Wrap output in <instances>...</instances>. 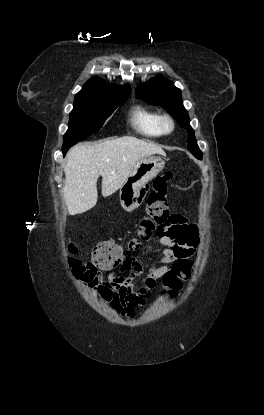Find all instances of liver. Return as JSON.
Wrapping results in <instances>:
<instances>
[{
    "label": "liver",
    "instance_id": "obj_1",
    "mask_svg": "<svg viewBox=\"0 0 264 415\" xmlns=\"http://www.w3.org/2000/svg\"><path fill=\"white\" fill-rule=\"evenodd\" d=\"M154 154L165 152L154 143L131 136L71 148L64 166L63 187L69 214H81L96 205L99 176L102 195L108 197L121 188L140 159Z\"/></svg>",
    "mask_w": 264,
    "mask_h": 415
}]
</instances>
